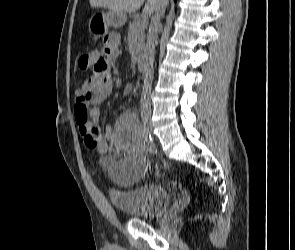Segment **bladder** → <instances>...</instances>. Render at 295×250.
I'll return each instance as SVG.
<instances>
[{
  "instance_id": "obj_1",
  "label": "bladder",
  "mask_w": 295,
  "mask_h": 250,
  "mask_svg": "<svg viewBox=\"0 0 295 250\" xmlns=\"http://www.w3.org/2000/svg\"><path fill=\"white\" fill-rule=\"evenodd\" d=\"M102 164L108 171L116 166L112 156L102 158ZM111 203L132 218L156 219L163 215L170 203L168 191L160 184L147 182L138 186H111L109 188Z\"/></svg>"
}]
</instances>
